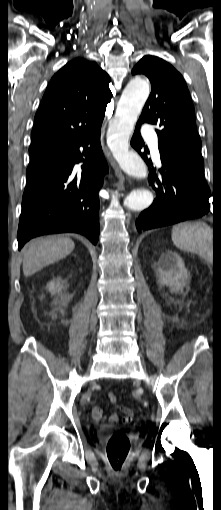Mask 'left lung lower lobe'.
<instances>
[{"mask_svg": "<svg viewBox=\"0 0 221 510\" xmlns=\"http://www.w3.org/2000/svg\"><path fill=\"white\" fill-rule=\"evenodd\" d=\"M141 121L136 124L131 139L132 147L138 151L149 168V151L140 135ZM162 168L161 177L149 175V183L156 191L153 204L136 220L138 232L199 218L210 210V189L204 177V164L197 163L175 151L158 144Z\"/></svg>", "mask_w": 221, "mask_h": 510, "instance_id": "obj_1", "label": "left lung lower lobe"}]
</instances>
